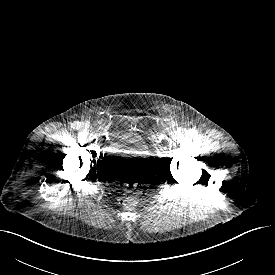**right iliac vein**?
<instances>
[{
    "label": "right iliac vein",
    "instance_id": "63e3f726",
    "mask_svg": "<svg viewBox=\"0 0 275 275\" xmlns=\"http://www.w3.org/2000/svg\"><path fill=\"white\" fill-rule=\"evenodd\" d=\"M88 127H89V125L83 124V125L81 126V129H85V128H88Z\"/></svg>",
    "mask_w": 275,
    "mask_h": 275
}]
</instances>
